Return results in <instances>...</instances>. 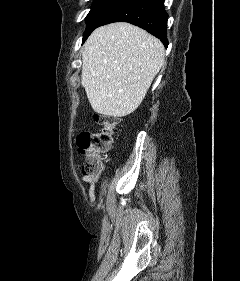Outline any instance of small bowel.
Masks as SVG:
<instances>
[{"instance_id":"obj_1","label":"small bowel","mask_w":240,"mask_h":281,"mask_svg":"<svg viewBox=\"0 0 240 281\" xmlns=\"http://www.w3.org/2000/svg\"><path fill=\"white\" fill-rule=\"evenodd\" d=\"M98 175H87V174H83L82 176V180L84 182H89V183H92V182H96L98 180Z\"/></svg>"}]
</instances>
